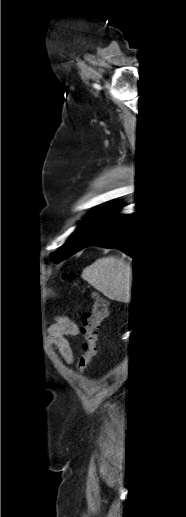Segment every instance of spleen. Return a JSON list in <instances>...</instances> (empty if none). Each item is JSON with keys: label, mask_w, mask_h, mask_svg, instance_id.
<instances>
[{"label": "spleen", "mask_w": 186, "mask_h": 517, "mask_svg": "<svg viewBox=\"0 0 186 517\" xmlns=\"http://www.w3.org/2000/svg\"><path fill=\"white\" fill-rule=\"evenodd\" d=\"M132 266L115 257L97 259L82 272V278L112 300L129 302L132 291Z\"/></svg>", "instance_id": "spleen-1"}]
</instances>
